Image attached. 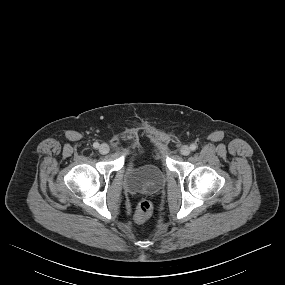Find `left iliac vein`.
Segmentation results:
<instances>
[{"mask_svg": "<svg viewBox=\"0 0 285 285\" xmlns=\"http://www.w3.org/2000/svg\"><path fill=\"white\" fill-rule=\"evenodd\" d=\"M190 152H191L190 147H188L187 145L182 146L180 149V153L184 156H188Z\"/></svg>", "mask_w": 285, "mask_h": 285, "instance_id": "1", "label": "left iliac vein"}]
</instances>
